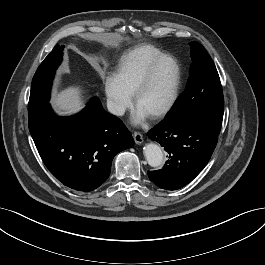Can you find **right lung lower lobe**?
Returning a JSON list of instances; mask_svg holds the SVG:
<instances>
[{
	"mask_svg": "<svg viewBox=\"0 0 265 265\" xmlns=\"http://www.w3.org/2000/svg\"><path fill=\"white\" fill-rule=\"evenodd\" d=\"M28 124L45 166L65 186L82 192L103 184L114 156L134 144L122 121L97 97L73 117L57 116L48 103Z\"/></svg>",
	"mask_w": 265,
	"mask_h": 265,
	"instance_id": "1",
	"label": "right lung lower lobe"
}]
</instances>
